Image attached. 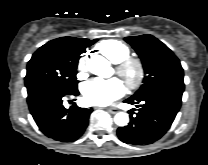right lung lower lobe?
Masks as SVG:
<instances>
[{"instance_id":"obj_1","label":"right lung lower lobe","mask_w":208,"mask_h":165,"mask_svg":"<svg viewBox=\"0 0 208 165\" xmlns=\"http://www.w3.org/2000/svg\"><path fill=\"white\" fill-rule=\"evenodd\" d=\"M78 94V89L69 92L43 89L27 97L30 112L42 133L60 142L76 141L84 133L93 109L76 105L66 109L62 104L64 97Z\"/></svg>"}]
</instances>
